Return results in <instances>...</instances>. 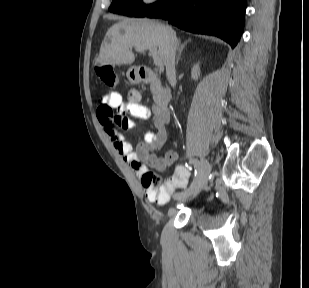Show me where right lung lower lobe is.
<instances>
[{
    "label": "right lung lower lobe",
    "mask_w": 309,
    "mask_h": 288,
    "mask_svg": "<svg viewBox=\"0 0 309 288\" xmlns=\"http://www.w3.org/2000/svg\"><path fill=\"white\" fill-rule=\"evenodd\" d=\"M246 0H165L146 14L184 30L215 35L235 47L245 24Z\"/></svg>",
    "instance_id": "1"
}]
</instances>
